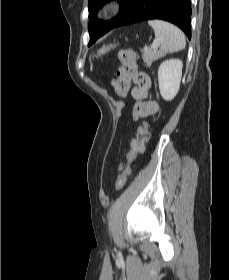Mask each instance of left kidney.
<instances>
[{
    "label": "left kidney",
    "instance_id": "left-kidney-1",
    "mask_svg": "<svg viewBox=\"0 0 229 280\" xmlns=\"http://www.w3.org/2000/svg\"><path fill=\"white\" fill-rule=\"evenodd\" d=\"M183 63L179 59H169L158 69L159 90L164 100H172L178 93L182 77Z\"/></svg>",
    "mask_w": 229,
    "mask_h": 280
}]
</instances>
